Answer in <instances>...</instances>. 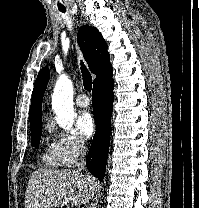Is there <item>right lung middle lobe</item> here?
Masks as SVG:
<instances>
[{
    "label": "right lung middle lobe",
    "mask_w": 199,
    "mask_h": 208,
    "mask_svg": "<svg viewBox=\"0 0 199 208\" xmlns=\"http://www.w3.org/2000/svg\"><path fill=\"white\" fill-rule=\"evenodd\" d=\"M41 135L42 126H39L31 130V145L34 146L36 149L39 146Z\"/></svg>",
    "instance_id": "dd1d6c3e"
}]
</instances>
